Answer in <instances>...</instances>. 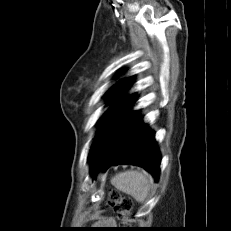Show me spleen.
Instances as JSON below:
<instances>
[{
    "mask_svg": "<svg viewBox=\"0 0 231 231\" xmlns=\"http://www.w3.org/2000/svg\"><path fill=\"white\" fill-rule=\"evenodd\" d=\"M111 184L118 190L131 195L137 202L146 201L153 179L146 172L128 170L111 178Z\"/></svg>",
    "mask_w": 231,
    "mask_h": 231,
    "instance_id": "3e777b00",
    "label": "spleen"
}]
</instances>
